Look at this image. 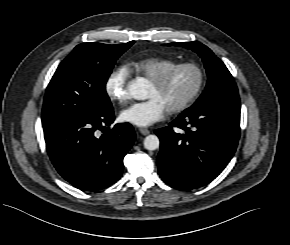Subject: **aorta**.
I'll return each instance as SVG.
<instances>
[{"label": "aorta", "mask_w": 290, "mask_h": 245, "mask_svg": "<svg viewBox=\"0 0 290 245\" xmlns=\"http://www.w3.org/2000/svg\"><path fill=\"white\" fill-rule=\"evenodd\" d=\"M149 84L145 78H137L132 80L128 85L130 95L136 100H144L148 97ZM160 141L156 135H148L144 139V147L153 151L159 148Z\"/></svg>", "instance_id": "obj_1"}]
</instances>
